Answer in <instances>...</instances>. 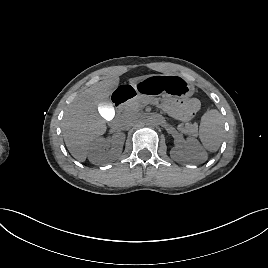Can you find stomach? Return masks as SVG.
Instances as JSON below:
<instances>
[{"label":"stomach","instance_id":"obj_1","mask_svg":"<svg viewBox=\"0 0 268 268\" xmlns=\"http://www.w3.org/2000/svg\"><path fill=\"white\" fill-rule=\"evenodd\" d=\"M138 95L152 96L168 93L179 98H188L194 93L191 82L178 74H151L131 83Z\"/></svg>","mask_w":268,"mask_h":268}]
</instances>
